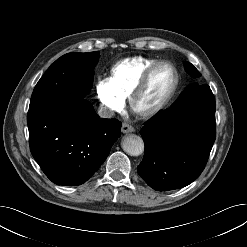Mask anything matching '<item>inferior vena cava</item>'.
<instances>
[{"mask_svg": "<svg viewBox=\"0 0 247 247\" xmlns=\"http://www.w3.org/2000/svg\"><path fill=\"white\" fill-rule=\"evenodd\" d=\"M98 115L101 118H111L114 115V111L102 105L98 109Z\"/></svg>", "mask_w": 247, "mask_h": 247, "instance_id": "1", "label": "inferior vena cava"}]
</instances>
